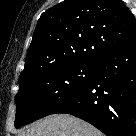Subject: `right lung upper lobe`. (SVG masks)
Returning a JSON list of instances; mask_svg holds the SVG:
<instances>
[{"label": "right lung upper lobe", "mask_w": 136, "mask_h": 136, "mask_svg": "<svg viewBox=\"0 0 136 136\" xmlns=\"http://www.w3.org/2000/svg\"><path fill=\"white\" fill-rule=\"evenodd\" d=\"M136 39V19L122 0H65L38 20L19 83L58 65L90 63Z\"/></svg>", "instance_id": "1"}]
</instances>
